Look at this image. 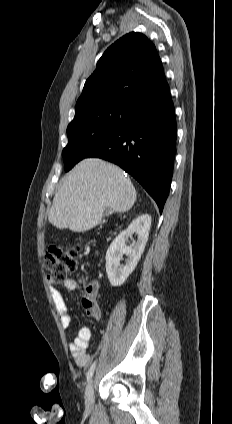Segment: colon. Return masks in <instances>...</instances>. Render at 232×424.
I'll use <instances>...</instances> for the list:
<instances>
[{"instance_id": "1", "label": "colon", "mask_w": 232, "mask_h": 424, "mask_svg": "<svg viewBox=\"0 0 232 424\" xmlns=\"http://www.w3.org/2000/svg\"><path fill=\"white\" fill-rule=\"evenodd\" d=\"M79 248H63L52 246L47 249L44 255V267L47 271V279L51 284H61L71 275L77 265ZM85 309L89 314L95 313L93 303L85 300Z\"/></svg>"}]
</instances>
